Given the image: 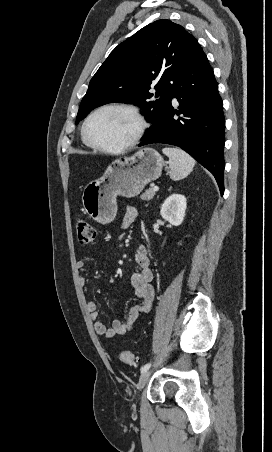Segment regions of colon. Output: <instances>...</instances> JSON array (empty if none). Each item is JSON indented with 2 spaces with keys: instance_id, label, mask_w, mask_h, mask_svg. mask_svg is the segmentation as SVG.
Masks as SVG:
<instances>
[{
  "instance_id": "1",
  "label": "colon",
  "mask_w": 272,
  "mask_h": 452,
  "mask_svg": "<svg viewBox=\"0 0 272 452\" xmlns=\"http://www.w3.org/2000/svg\"><path fill=\"white\" fill-rule=\"evenodd\" d=\"M77 241L80 245L85 246L91 244L95 239V229L86 220L79 219L76 222ZM118 359L125 364L136 363L135 355L130 351H122L118 355Z\"/></svg>"
}]
</instances>
